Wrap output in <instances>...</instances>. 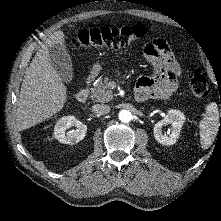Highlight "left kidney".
<instances>
[{
  "label": "left kidney",
  "instance_id": "left-kidney-1",
  "mask_svg": "<svg viewBox=\"0 0 221 221\" xmlns=\"http://www.w3.org/2000/svg\"><path fill=\"white\" fill-rule=\"evenodd\" d=\"M185 115L175 109H171L167 112L165 118L155 124L153 129L154 137L162 145H173L176 143L180 135V130L185 122ZM166 124H171V129L167 134L163 133L162 127Z\"/></svg>",
  "mask_w": 221,
  "mask_h": 221
}]
</instances>
